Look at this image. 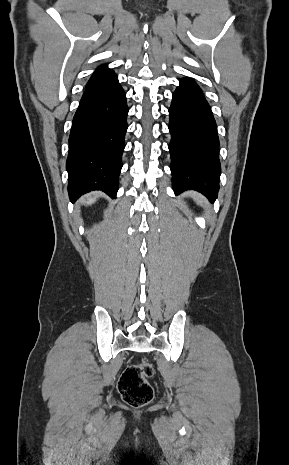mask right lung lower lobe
Returning <instances> with one entry per match:
<instances>
[{
  "label": "right lung lower lobe",
  "mask_w": 289,
  "mask_h": 465,
  "mask_svg": "<svg viewBox=\"0 0 289 465\" xmlns=\"http://www.w3.org/2000/svg\"><path fill=\"white\" fill-rule=\"evenodd\" d=\"M128 107L118 79L86 88L73 118L66 162L72 202L102 190L115 198L125 147Z\"/></svg>",
  "instance_id": "98d812e1"
}]
</instances>
